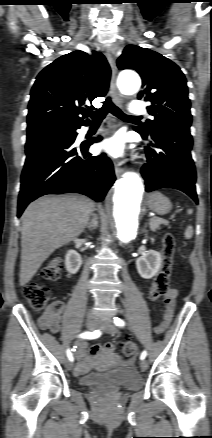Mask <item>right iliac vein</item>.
<instances>
[{"mask_svg":"<svg viewBox=\"0 0 212 438\" xmlns=\"http://www.w3.org/2000/svg\"><path fill=\"white\" fill-rule=\"evenodd\" d=\"M86 326L88 329L93 330L98 326V319L95 315H88L86 318ZM67 370L73 369V363L70 360L65 362ZM76 375V374H75Z\"/></svg>","mask_w":212,"mask_h":438,"instance_id":"1","label":"right iliac vein"}]
</instances>
